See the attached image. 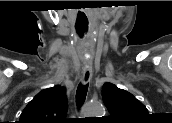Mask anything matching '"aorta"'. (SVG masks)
<instances>
[{
    "label": "aorta",
    "mask_w": 172,
    "mask_h": 123,
    "mask_svg": "<svg viewBox=\"0 0 172 123\" xmlns=\"http://www.w3.org/2000/svg\"><path fill=\"white\" fill-rule=\"evenodd\" d=\"M104 109L101 104L89 102L85 106L84 115L88 117H101Z\"/></svg>",
    "instance_id": "obj_1"
}]
</instances>
